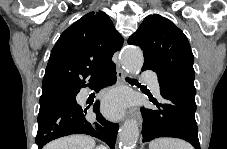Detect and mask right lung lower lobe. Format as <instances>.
<instances>
[{
  "instance_id": "obj_1",
  "label": "right lung lower lobe",
  "mask_w": 227,
  "mask_h": 149,
  "mask_svg": "<svg viewBox=\"0 0 227 149\" xmlns=\"http://www.w3.org/2000/svg\"><path fill=\"white\" fill-rule=\"evenodd\" d=\"M115 64L108 67L101 76L86 85L97 92L116 82ZM83 109L77 103H58L38 115V132L35 142L38 149L56 138L71 134H87L104 141L111 149H114L118 132V124L106 121L99 113V101L94 103L93 111L97 114L96 121H86Z\"/></svg>"
}]
</instances>
